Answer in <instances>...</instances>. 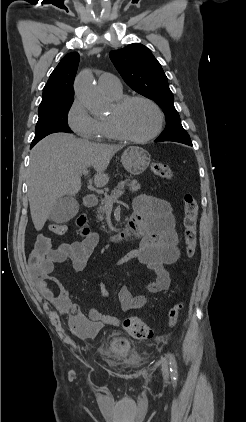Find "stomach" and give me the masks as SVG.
I'll return each instance as SVG.
<instances>
[{"label": "stomach", "mask_w": 246, "mask_h": 422, "mask_svg": "<svg viewBox=\"0 0 246 422\" xmlns=\"http://www.w3.org/2000/svg\"><path fill=\"white\" fill-rule=\"evenodd\" d=\"M149 153L138 146H130L123 152L121 162L124 168L132 175L143 173L150 164Z\"/></svg>", "instance_id": "obj_1"}]
</instances>
